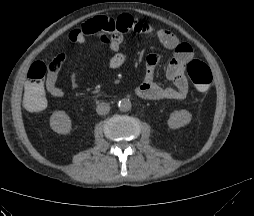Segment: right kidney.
<instances>
[{
	"label": "right kidney",
	"instance_id": "ca27d5eb",
	"mask_svg": "<svg viewBox=\"0 0 254 216\" xmlns=\"http://www.w3.org/2000/svg\"><path fill=\"white\" fill-rule=\"evenodd\" d=\"M50 126L59 134H68L72 124L70 117L64 111H55L50 117Z\"/></svg>",
	"mask_w": 254,
	"mask_h": 216
}]
</instances>
